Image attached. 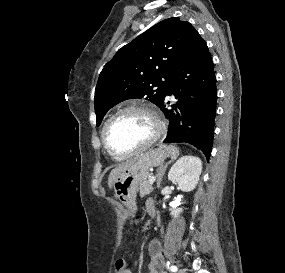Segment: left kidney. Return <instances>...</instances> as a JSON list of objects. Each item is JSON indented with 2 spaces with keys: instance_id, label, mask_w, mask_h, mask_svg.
Segmentation results:
<instances>
[{
  "instance_id": "1",
  "label": "left kidney",
  "mask_w": 285,
  "mask_h": 273,
  "mask_svg": "<svg viewBox=\"0 0 285 273\" xmlns=\"http://www.w3.org/2000/svg\"><path fill=\"white\" fill-rule=\"evenodd\" d=\"M201 172L202 162L198 157L183 156L171 167L168 179L178 184L180 190L190 192L195 189ZM182 211V208H174L171 211V215L176 218Z\"/></svg>"
}]
</instances>
